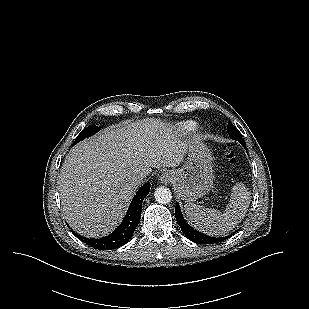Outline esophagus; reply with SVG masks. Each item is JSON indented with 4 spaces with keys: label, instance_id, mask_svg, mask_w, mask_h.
Here are the masks:
<instances>
[{
    "label": "esophagus",
    "instance_id": "esophagus-1",
    "mask_svg": "<svg viewBox=\"0 0 309 309\" xmlns=\"http://www.w3.org/2000/svg\"><path fill=\"white\" fill-rule=\"evenodd\" d=\"M172 180V175L171 173L165 171L162 172V174L160 175V181L161 183L167 184Z\"/></svg>",
    "mask_w": 309,
    "mask_h": 309
}]
</instances>
